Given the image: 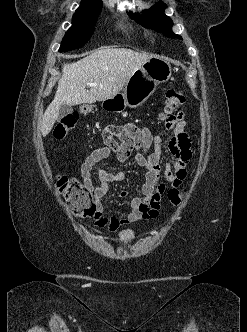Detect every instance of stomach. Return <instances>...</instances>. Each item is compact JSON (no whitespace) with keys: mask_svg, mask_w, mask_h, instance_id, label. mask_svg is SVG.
<instances>
[{"mask_svg":"<svg viewBox=\"0 0 247 332\" xmlns=\"http://www.w3.org/2000/svg\"><path fill=\"white\" fill-rule=\"evenodd\" d=\"M171 73V65L167 61L153 57L131 75L122 93L104 100L102 105L112 111H122L127 106L139 107L155 92L158 84L170 79Z\"/></svg>","mask_w":247,"mask_h":332,"instance_id":"obj_1","label":"stomach"}]
</instances>
